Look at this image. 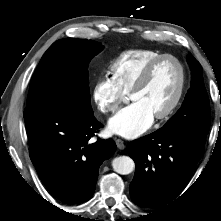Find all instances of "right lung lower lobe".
<instances>
[{"instance_id": "right-lung-lower-lobe-1", "label": "right lung lower lobe", "mask_w": 221, "mask_h": 221, "mask_svg": "<svg viewBox=\"0 0 221 221\" xmlns=\"http://www.w3.org/2000/svg\"><path fill=\"white\" fill-rule=\"evenodd\" d=\"M30 158L47 189L67 204L94 193L101 163L116 150L114 140L90 139L102 126L93 113L53 104L24 112Z\"/></svg>"}]
</instances>
